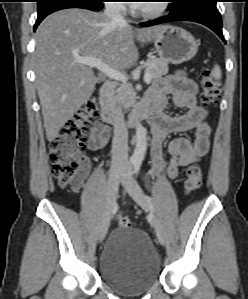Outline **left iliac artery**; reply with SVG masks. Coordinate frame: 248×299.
Wrapping results in <instances>:
<instances>
[{
	"instance_id": "1",
	"label": "left iliac artery",
	"mask_w": 248,
	"mask_h": 299,
	"mask_svg": "<svg viewBox=\"0 0 248 299\" xmlns=\"http://www.w3.org/2000/svg\"><path fill=\"white\" fill-rule=\"evenodd\" d=\"M140 167H141V161H135L134 162V174H136V175L138 174ZM145 198L147 199L148 202L151 201V198L149 196H146Z\"/></svg>"
}]
</instances>
